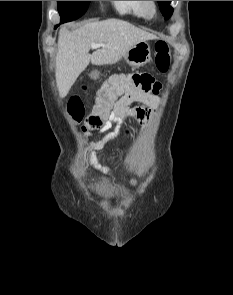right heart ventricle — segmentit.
<instances>
[{"label": "right heart ventricle", "mask_w": 233, "mask_h": 295, "mask_svg": "<svg viewBox=\"0 0 233 295\" xmlns=\"http://www.w3.org/2000/svg\"><path fill=\"white\" fill-rule=\"evenodd\" d=\"M115 10L121 15L136 18H145L140 6V1H111Z\"/></svg>", "instance_id": "obj_1"}]
</instances>
